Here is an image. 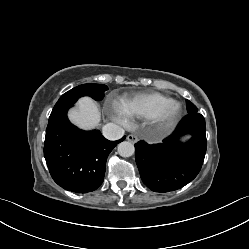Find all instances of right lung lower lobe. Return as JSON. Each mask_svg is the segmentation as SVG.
<instances>
[{"label":"right lung lower lobe","instance_id":"1","mask_svg":"<svg viewBox=\"0 0 249 249\" xmlns=\"http://www.w3.org/2000/svg\"><path fill=\"white\" fill-rule=\"evenodd\" d=\"M70 107L50 115L44 156L50 174L59 186L87 193L102 184L107 157L125 136L118 141H109L98 130L78 129L67 118Z\"/></svg>","mask_w":249,"mask_h":249}]
</instances>
